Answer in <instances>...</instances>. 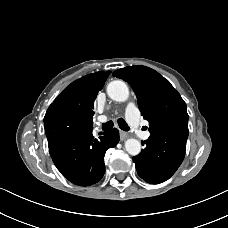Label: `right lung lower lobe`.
I'll return each instance as SVG.
<instances>
[{
  "label": "right lung lower lobe",
  "instance_id": "obj_1",
  "mask_svg": "<svg viewBox=\"0 0 228 228\" xmlns=\"http://www.w3.org/2000/svg\"><path fill=\"white\" fill-rule=\"evenodd\" d=\"M99 135L95 138L92 130L83 131L49 145L54 164L70 182L89 186L103 177L105 153L119 142V131L114 128Z\"/></svg>",
  "mask_w": 228,
  "mask_h": 228
}]
</instances>
